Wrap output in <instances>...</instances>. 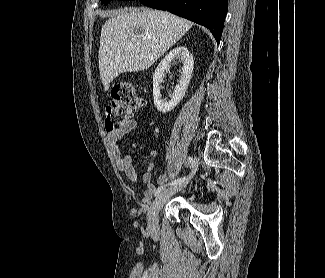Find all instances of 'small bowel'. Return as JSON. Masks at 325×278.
I'll return each mask as SVG.
<instances>
[{"label":"small bowel","mask_w":325,"mask_h":278,"mask_svg":"<svg viewBox=\"0 0 325 278\" xmlns=\"http://www.w3.org/2000/svg\"><path fill=\"white\" fill-rule=\"evenodd\" d=\"M138 130L141 137H144V131L139 128L138 122L135 119H131L124 124L118 130L108 133V139L113 145V154L115 156L116 164L120 172H122L127 179L132 183H144L147 184V188L143 192L140 205L145 207L148 205L153 194L156 192V187L150 183L154 162L158 158L159 154L156 150H151L149 153V162L147 166L141 172L139 176L137 170L132 163V158L128 152L121 151L116 147L117 142L126 134ZM168 180L167 172L161 173L157 178V183L162 185Z\"/></svg>","instance_id":"obj_1"}]
</instances>
